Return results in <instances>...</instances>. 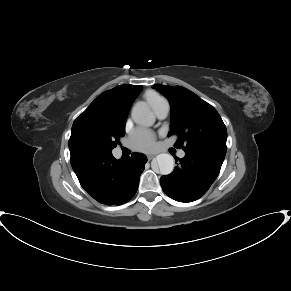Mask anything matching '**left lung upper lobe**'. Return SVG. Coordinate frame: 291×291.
<instances>
[{
    "label": "left lung upper lobe",
    "instance_id": "5c2ea615",
    "mask_svg": "<svg viewBox=\"0 0 291 291\" xmlns=\"http://www.w3.org/2000/svg\"><path fill=\"white\" fill-rule=\"evenodd\" d=\"M171 106L169 136H179L176 147L219 155L226 154L227 130L216 109L193 92L180 87L155 84Z\"/></svg>",
    "mask_w": 291,
    "mask_h": 291
}]
</instances>
